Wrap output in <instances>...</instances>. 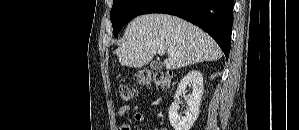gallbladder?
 I'll use <instances>...</instances> for the list:
<instances>
[{
    "instance_id": "gallbladder-1",
    "label": "gallbladder",
    "mask_w": 299,
    "mask_h": 130,
    "mask_svg": "<svg viewBox=\"0 0 299 130\" xmlns=\"http://www.w3.org/2000/svg\"><path fill=\"white\" fill-rule=\"evenodd\" d=\"M151 68L154 70H160L162 68V64L160 62H152L150 64Z\"/></svg>"
}]
</instances>
